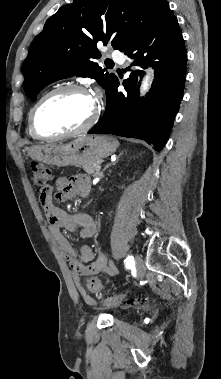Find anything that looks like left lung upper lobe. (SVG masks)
Here are the masks:
<instances>
[{
	"label": "left lung upper lobe",
	"instance_id": "5c2ea615",
	"mask_svg": "<svg viewBox=\"0 0 221 379\" xmlns=\"http://www.w3.org/2000/svg\"><path fill=\"white\" fill-rule=\"evenodd\" d=\"M166 0H74L45 23L23 63L24 90L33 100L48 84L90 77L107 91L117 79L102 69L96 44L111 41L121 52L154 21Z\"/></svg>",
	"mask_w": 221,
	"mask_h": 379
}]
</instances>
